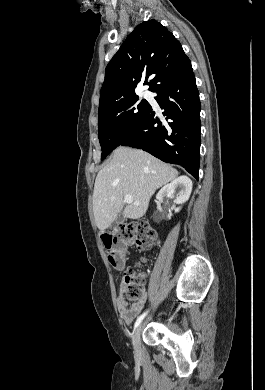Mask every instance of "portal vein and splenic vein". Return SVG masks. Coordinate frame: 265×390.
Instances as JSON below:
<instances>
[{"label": "portal vein and splenic vein", "instance_id": "1", "mask_svg": "<svg viewBox=\"0 0 265 390\" xmlns=\"http://www.w3.org/2000/svg\"><path fill=\"white\" fill-rule=\"evenodd\" d=\"M124 202L127 204H134V205H139V202H134L133 197L130 195H125L124 196Z\"/></svg>", "mask_w": 265, "mask_h": 390}]
</instances>
